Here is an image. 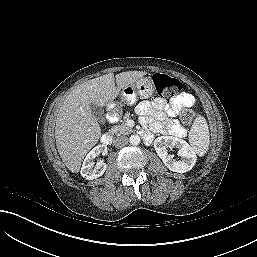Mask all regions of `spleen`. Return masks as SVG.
<instances>
[{
	"instance_id": "3e777b00",
	"label": "spleen",
	"mask_w": 257,
	"mask_h": 257,
	"mask_svg": "<svg viewBox=\"0 0 257 257\" xmlns=\"http://www.w3.org/2000/svg\"><path fill=\"white\" fill-rule=\"evenodd\" d=\"M189 143L192 150L199 156L205 155L208 151L210 136L208 125L204 117L199 116L193 122L189 132Z\"/></svg>"
}]
</instances>
